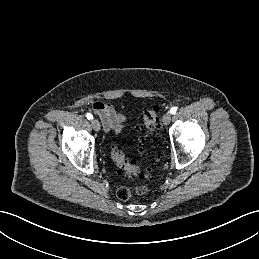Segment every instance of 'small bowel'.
Returning a JSON list of instances; mask_svg holds the SVG:
<instances>
[{"mask_svg":"<svg viewBox=\"0 0 259 259\" xmlns=\"http://www.w3.org/2000/svg\"><path fill=\"white\" fill-rule=\"evenodd\" d=\"M93 111L99 116L105 131L121 133L126 127V116L118 112L113 105L100 101L91 104Z\"/></svg>","mask_w":259,"mask_h":259,"instance_id":"c3829d8e","label":"small bowel"}]
</instances>
